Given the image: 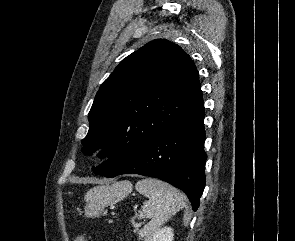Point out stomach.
Listing matches in <instances>:
<instances>
[{
    "instance_id": "1",
    "label": "stomach",
    "mask_w": 295,
    "mask_h": 241,
    "mask_svg": "<svg viewBox=\"0 0 295 241\" xmlns=\"http://www.w3.org/2000/svg\"><path fill=\"white\" fill-rule=\"evenodd\" d=\"M131 191V183L126 181L96 186L85 195V214L91 218L99 217L105 207L122 200Z\"/></svg>"
}]
</instances>
